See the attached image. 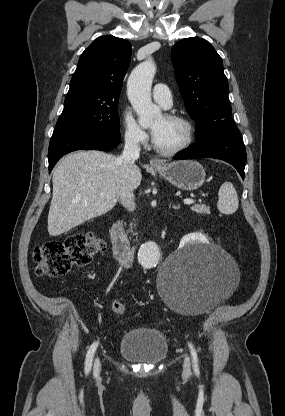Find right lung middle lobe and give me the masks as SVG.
<instances>
[{
	"instance_id": "right-lung-middle-lobe-1",
	"label": "right lung middle lobe",
	"mask_w": 285,
	"mask_h": 416,
	"mask_svg": "<svg viewBox=\"0 0 285 416\" xmlns=\"http://www.w3.org/2000/svg\"><path fill=\"white\" fill-rule=\"evenodd\" d=\"M118 99H82L70 95L55 131H98L119 133Z\"/></svg>"
}]
</instances>
